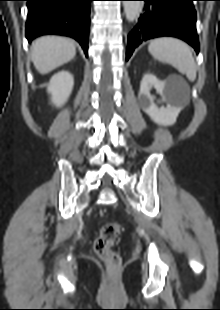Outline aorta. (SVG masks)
<instances>
[{
    "mask_svg": "<svg viewBox=\"0 0 220 310\" xmlns=\"http://www.w3.org/2000/svg\"><path fill=\"white\" fill-rule=\"evenodd\" d=\"M124 12L127 20L133 22L140 14L142 2L140 1H124Z\"/></svg>",
    "mask_w": 220,
    "mask_h": 310,
    "instance_id": "obj_1",
    "label": "aorta"
}]
</instances>
